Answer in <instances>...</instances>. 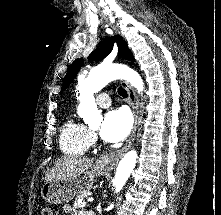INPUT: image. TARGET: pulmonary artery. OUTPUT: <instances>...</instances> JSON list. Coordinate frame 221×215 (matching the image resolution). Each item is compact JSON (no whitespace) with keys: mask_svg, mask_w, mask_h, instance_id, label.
Returning a JSON list of instances; mask_svg holds the SVG:
<instances>
[{"mask_svg":"<svg viewBox=\"0 0 221 215\" xmlns=\"http://www.w3.org/2000/svg\"><path fill=\"white\" fill-rule=\"evenodd\" d=\"M96 102L100 107H103V108H107L111 105L110 96H109V94H107L105 92L100 93L97 96Z\"/></svg>","mask_w":221,"mask_h":215,"instance_id":"e3ab8cb5","label":"pulmonary artery"}]
</instances>
